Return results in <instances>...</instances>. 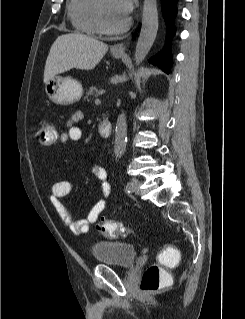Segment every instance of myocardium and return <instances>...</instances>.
<instances>
[{"label": "myocardium", "mask_w": 245, "mask_h": 319, "mask_svg": "<svg viewBox=\"0 0 245 319\" xmlns=\"http://www.w3.org/2000/svg\"><path fill=\"white\" fill-rule=\"evenodd\" d=\"M96 13H97V22L99 29L101 33L107 34V35H117L125 32L129 26H130V19H126L121 25L119 26H110L106 19L105 14L103 10V4L102 0H98L97 7H96Z\"/></svg>", "instance_id": "1"}]
</instances>
